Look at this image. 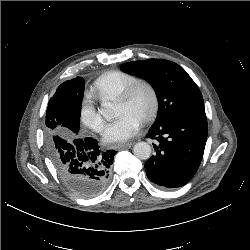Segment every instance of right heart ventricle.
Instances as JSON below:
<instances>
[{"instance_id": "obj_1", "label": "right heart ventricle", "mask_w": 250, "mask_h": 250, "mask_svg": "<svg viewBox=\"0 0 250 250\" xmlns=\"http://www.w3.org/2000/svg\"><path fill=\"white\" fill-rule=\"evenodd\" d=\"M136 76L123 71H110L96 79L91 87V95L97 99L116 98Z\"/></svg>"}]
</instances>
